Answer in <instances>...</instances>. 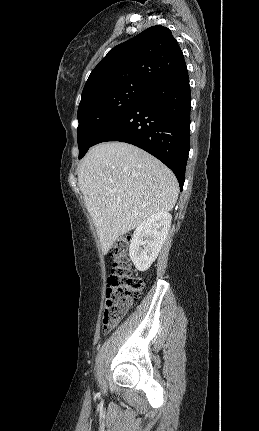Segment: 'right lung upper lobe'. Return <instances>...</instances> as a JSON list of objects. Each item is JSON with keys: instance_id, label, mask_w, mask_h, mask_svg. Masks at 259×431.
<instances>
[{"instance_id": "1", "label": "right lung upper lobe", "mask_w": 259, "mask_h": 431, "mask_svg": "<svg viewBox=\"0 0 259 431\" xmlns=\"http://www.w3.org/2000/svg\"><path fill=\"white\" fill-rule=\"evenodd\" d=\"M187 69L171 31L152 26L111 49L91 72L82 92L87 97L126 85L146 89Z\"/></svg>"}]
</instances>
